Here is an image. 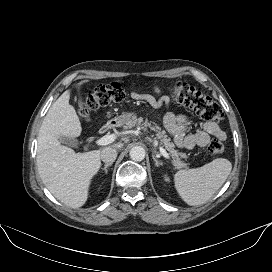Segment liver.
<instances>
[{"mask_svg":"<svg viewBox=\"0 0 272 272\" xmlns=\"http://www.w3.org/2000/svg\"><path fill=\"white\" fill-rule=\"evenodd\" d=\"M88 80L77 84L80 86ZM70 92L65 91L50 107L38 134L37 167L39 175L56 199L71 208L83 206L88 198L92 178L100 169V150L76 153L59 141L61 136L75 138L81 134V125L73 106L69 104ZM83 102L79 110L83 113ZM122 148V143L113 145Z\"/></svg>","mask_w":272,"mask_h":272,"instance_id":"1","label":"liver"}]
</instances>
